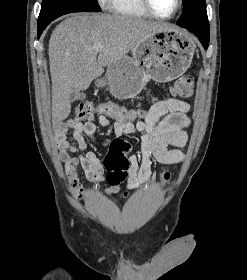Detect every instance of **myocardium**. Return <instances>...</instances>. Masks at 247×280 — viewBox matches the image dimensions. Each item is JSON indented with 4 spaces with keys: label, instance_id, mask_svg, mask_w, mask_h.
<instances>
[{
    "label": "myocardium",
    "instance_id": "myocardium-1",
    "mask_svg": "<svg viewBox=\"0 0 247 280\" xmlns=\"http://www.w3.org/2000/svg\"><path fill=\"white\" fill-rule=\"evenodd\" d=\"M141 5L143 6V8L146 10V12L156 18V19H160V20H171L173 19L180 11L181 6H182V0H176V8L175 10L168 16H161L159 14H157L154 9L152 8L150 1L149 0H140Z\"/></svg>",
    "mask_w": 247,
    "mask_h": 280
}]
</instances>
